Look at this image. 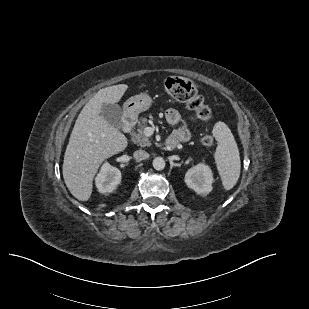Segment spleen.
Listing matches in <instances>:
<instances>
[{"label": "spleen", "mask_w": 309, "mask_h": 309, "mask_svg": "<svg viewBox=\"0 0 309 309\" xmlns=\"http://www.w3.org/2000/svg\"><path fill=\"white\" fill-rule=\"evenodd\" d=\"M213 136L218 142L215 163L225 190H231L240 176L241 162L239 150L231 130L224 122H217Z\"/></svg>", "instance_id": "3e777b00"}]
</instances>
